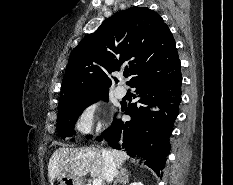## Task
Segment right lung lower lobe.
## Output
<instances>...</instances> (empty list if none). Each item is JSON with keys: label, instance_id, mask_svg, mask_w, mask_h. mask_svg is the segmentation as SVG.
<instances>
[{"label": "right lung lower lobe", "instance_id": "1", "mask_svg": "<svg viewBox=\"0 0 233 185\" xmlns=\"http://www.w3.org/2000/svg\"><path fill=\"white\" fill-rule=\"evenodd\" d=\"M181 84L179 59L142 73L130 84L136 88L138 102L129 106L121 104V111L131 119L127 122L115 119L105 132L112 148H125L129 155L142 157L158 176L169 154V137L179 114ZM154 106L160 110L151 111Z\"/></svg>", "mask_w": 233, "mask_h": 185}]
</instances>
